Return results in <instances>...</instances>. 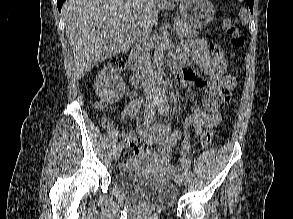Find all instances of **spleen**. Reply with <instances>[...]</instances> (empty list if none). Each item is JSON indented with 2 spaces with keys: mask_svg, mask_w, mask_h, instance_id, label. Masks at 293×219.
<instances>
[{
  "mask_svg": "<svg viewBox=\"0 0 293 219\" xmlns=\"http://www.w3.org/2000/svg\"><path fill=\"white\" fill-rule=\"evenodd\" d=\"M239 15H240V19H241L242 24L243 25L248 24V14H247V11L245 8L240 9Z\"/></svg>",
  "mask_w": 293,
  "mask_h": 219,
  "instance_id": "1",
  "label": "spleen"
}]
</instances>
